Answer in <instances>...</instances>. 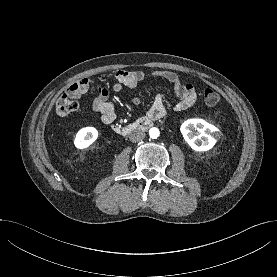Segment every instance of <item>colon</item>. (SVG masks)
Here are the masks:
<instances>
[{"instance_id": "colon-1", "label": "colon", "mask_w": 277, "mask_h": 277, "mask_svg": "<svg viewBox=\"0 0 277 277\" xmlns=\"http://www.w3.org/2000/svg\"><path fill=\"white\" fill-rule=\"evenodd\" d=\"M89 86L87 82L81 80L74 83L66 93L61 95L56 102V111L61 116H66L77 110L78 104L76 98L87 91ZM204 101L209 106L216 105L219 100V94L213 89H206L203 93Z\"/></svg>"}]
</instances>
